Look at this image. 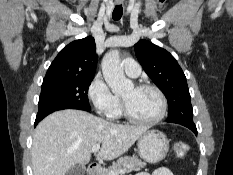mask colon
Returning a JSON list of instances; mask_svg holds the SVG:
<instances>
[{"mask_svg": "<svg viewBox=\"0 0 233 175\" xmlns=\"http://www.w3.org/2000/svg\"><path fill=\"white\" fill-rule=\"evenodd\" d=\"M174 153L177 157L182 158L186 156L190 150V146L187 142L176 141L173 145Z\"/></svg>", "mask_w": 233, "mask_h": 175, "instance_id": "1", "label": "colon"}]
</instances>
